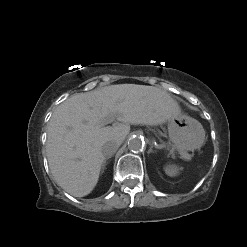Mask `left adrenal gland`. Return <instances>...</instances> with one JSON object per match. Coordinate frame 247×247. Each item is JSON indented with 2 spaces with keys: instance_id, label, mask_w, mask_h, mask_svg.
Returning a JSON list of instances; mask_svg holds the SVG:
<instances>
[{
  "instance_id": "a2214340",
  "label": "left adrenal gland",
  "mask_w": 247,
  "mask_h": 247,
  "mask_svg": "<svg viewBox=\"0 0 247 247\" xmlns=\"http://www.w3.org/2000/svg\"><path fill=\"white\" fill-rule=\"evenodd\" d=\"M152 148H153V146H151V147H150V149H149V153L154 152Z\"/></svg>"
}]
</instances>
